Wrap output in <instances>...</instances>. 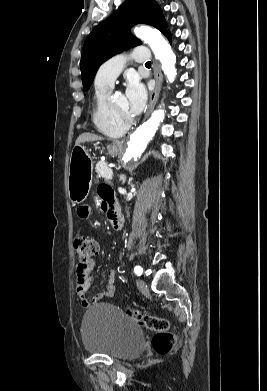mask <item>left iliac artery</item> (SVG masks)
I'll return each mask as SVG.
<instances>
[{
  "label": "left iliac artery",
  "instance_id": "left-iliac-artery-1",
  "mask_svg": "<svg viewBox=\"0 0 267 391\" xmlns=\"http://www.w3.org/2000/svg\"><path fill=\"white\" fill-rule=\"evenodd\" d=\"M134 272H135L136 275L140 276L142 274V272H143V269L140 266H136L134 268Z\"/></svg>",
  "mask_w": 267,
  "mask_h": 391
}]
</instances>
